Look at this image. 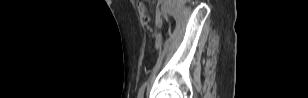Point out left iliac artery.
Instances as JSON below:
<instances>
[{"label": "left iliac artery", "mask_w": 308, "mask_h": 98, "mask_svg": "<svg viewBox=\"0 0 308 98\" xmlns=\"http://www.w3.org/2000/svg\"><path fill=\"white\" fill-rule=\"evenodd\" d=\"M162 41H163V38L161 37V35L157 34L156 35V45L160 46ZM147 84H148V81L144 82L143 85L140 87L139 92H138V98L144 97V91H145Z\"/></svg>", "instance_id": "1"}]
</instances>
